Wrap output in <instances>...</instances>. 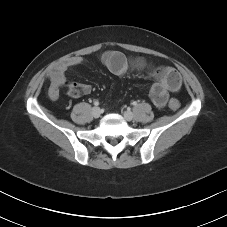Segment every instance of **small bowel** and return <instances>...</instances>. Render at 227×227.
Returning <instances> with one entry per match:
<instances>
[{
    "instance_id": "small-bowel-1",
    "label": "small bowel",
    "mask_w": 227,
    "mask_h": 227,
    "mask_svg": "<svg viewBox=\"0 0 227 227\" xmlns=\"http://www.w3.org/2000/svg\"><path fill=\"white\" fill-rule=\"evenodd\" d=\"M103 65L114 75L122 76L129 70L141 71L149 69L152 76L157 80L150 87L149 96L153 104L158 108L165 107L169 92L178 89V86H169L157 77V71L154 70L143 57L128 58L119 51H107L101 56ZM84 63L83 58L75 56L66 62L54 67L49 72L50 88L49 94L52 98H57L59 89L64 87L66 94L72 98H78L82 95L89 94L92 90L89 84L68 82L66 72L76 66Z\"/></svg>"
}]
</instances>
